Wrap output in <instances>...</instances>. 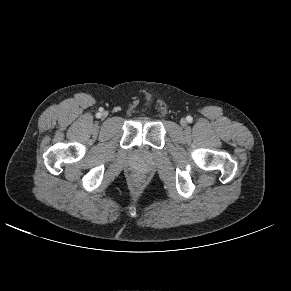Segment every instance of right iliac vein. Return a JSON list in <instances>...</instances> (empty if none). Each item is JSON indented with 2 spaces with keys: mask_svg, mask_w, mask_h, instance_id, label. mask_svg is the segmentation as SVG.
I'll list each match as a JSON object with an SVG mask.
<instances>
[{
  "mask_svg": "<svg viewBox=\"0 0 291 291\" xmlns=\"http://www.w3.org/2000/svg\"><path fill=\"white\" fill-rule=\"evenodd\" d=\"M102 116H103V117H106V113H103Z\"/></svg>",
  "mask_w": 291,
  "mask_h": 291,
  "instance_id": "63e3f726",
  "label": "right iliac vein"
}]
</instances>
